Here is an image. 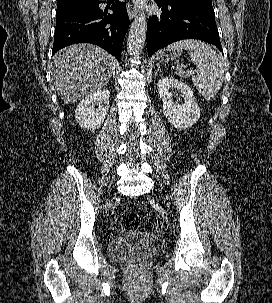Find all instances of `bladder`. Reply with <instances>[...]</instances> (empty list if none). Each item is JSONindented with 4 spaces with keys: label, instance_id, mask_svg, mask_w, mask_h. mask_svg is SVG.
<instances>
[{
    "label": "bladder",
    "instance_id": "31cf9c89",
    "mask_svg": "<svg viewBox=\"0 0 272 303\" xmlns=\"http://www.w3.org/2000/svg\"><path fill=\"white\" fill-rule=\"evenodd\" d=\"M110 256L118 261L152 257L158 252L155 238L145 231L129 230L109 244Z\"/></svg>",
    "mask_w": 272,
    "mask_h": 303
}]
</instances>
